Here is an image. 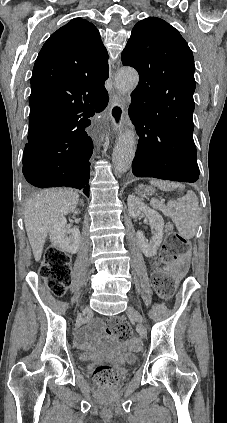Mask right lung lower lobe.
Returning <instances> with one entry per match:
<instances>
[{
	"instance_id": "1",
	"label": "right lung lower lobe",
	"mask_w": 227,
	"mask_h": 423,
	"mask_svg": "<svg viewBox=\"0 0 227 423\" xmlns=\"http://www.w3.org/2000/svg\"><path fill=\"white\" fill-rule=\"evenodd\" d=\"M107 103L37 104L30 106L29 121L58 118L70 126L46 139L27 143L23 154V174L39 188L73 187L89 196V166L93 142L85 129L88 119L105 109Z\"/></svg>"
}]
</instances>
